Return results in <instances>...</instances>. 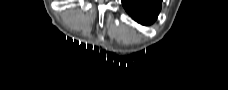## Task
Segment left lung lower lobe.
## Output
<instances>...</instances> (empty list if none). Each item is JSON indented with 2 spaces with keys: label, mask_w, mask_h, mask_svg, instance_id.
I'll return each instance as SVG.
<instances>
[{
  "label": "left lung lower lobe",
  "mask_w": 228,
  "mask_h": 90,
  "mask_svg": "<svg viewBox=\"0 0 228 90\" xmlns=\"http://www.w3.org/2000/svg\"><path fill=\"white\" fill-rule=\"evenodd\" d=\"M122 4L129 15L143 25L154 22L161 9V0H122Z\"/></svg>",
  "instance_id": "0a47b994"
}]
</instances>
